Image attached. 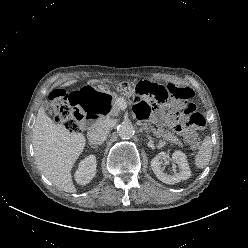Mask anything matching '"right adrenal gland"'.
<instances>
[{"label": "right adrenal gland", "mask_w": 248, "mask_h": 248, "mask_svg": "<svg viewBox=\"0 0 248 248\" xmlns=\"http://www.w3.org/2000/svg\"><path fill=\"white\" fill-rule=\"evenodd\" d=\"M90 146H91V148H93V149H98V146H96V145H93V144H89Z\"/></svg>", "instance_id": "right-adrenal-gland-1"}]
</instances>
